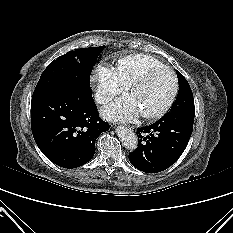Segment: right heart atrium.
I'll use <instances>...</instances> for the list:
<instances>
[{"label":"right heart atrium","instance_id":"1","mask_svg":"<svg viewBox=\"0 0 233 233\" xmlns=\"http://www.w3.org/2000/svg\"><path fill=\"white\" fill-rule=\"evenodd\" d=\"M93 80L96 83V99L101 104L108 103L127 89L117 69L104 63L96 67Z\"/></svg>","mask_w":233,"mask_h":233}]
</instances>
